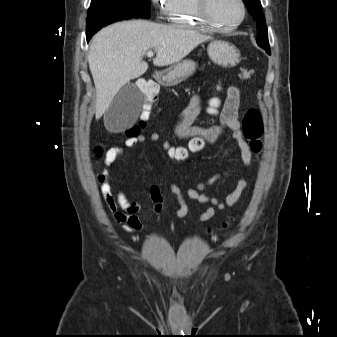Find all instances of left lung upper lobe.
<instances>
[{
  "instance_id": "left-lung-upper-lobe-1",
  "label": "left lung upper lobe",
  "mask_w": 337,
  "mask_h": 337,
  "mask_svg": "<svg viewBox=\"0 0 337 337\" xmlns=\"http://www.w3.org/2000/svg\"><path fill=\"white\" fill-rule=\"evenodd\" d=\"M249 13L257 21V44L265 49V51L270 54V47L268 42V33L265 26L264 15L262 13V6L260 0H243Z\"/></svg>"
}]
</instances>
